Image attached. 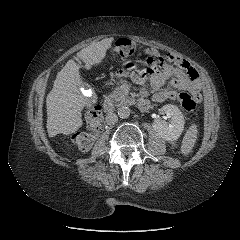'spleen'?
I'll return each mask as SVG.
<instances>
[{
    "label": "spleen",
    "mask_w": 240,
    "mask_h": 240,
    "mask_svg": "<svg viewBox=\"0 0 240 240\" xmlns=\"http://www.w3.org/2000/svg\"><path fill=\"white\" fill-rule=\"evenodd\" d=\"M197 125L192 124L187 130L181 145V153L187 155L193 149L197 139Z\"/></svg>",
    "instance_id": "3e777b00"
}]
</instances>
